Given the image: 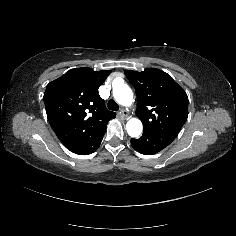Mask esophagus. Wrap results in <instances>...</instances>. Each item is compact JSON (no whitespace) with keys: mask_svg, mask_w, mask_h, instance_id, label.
<instances>
[{"mask_svg":"<svg viewBox=\"0 0 236 236\" xmlns=\"http://www.w3.org/2000/svg\"><path fill=\"white\" fill-rule=\"evenodd\" d=\"M121 115L123 116V117H128V115H129V112H128V110H126V109H121Z\"/></svg>","mask_w":236,"mask_h":236,"instance_id":"1","label":"esophagus"}]
</instances>
